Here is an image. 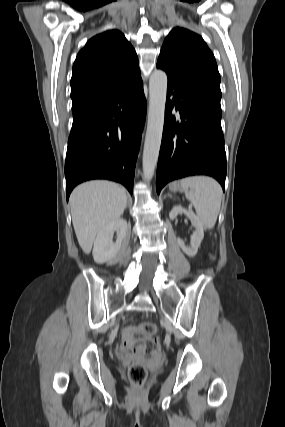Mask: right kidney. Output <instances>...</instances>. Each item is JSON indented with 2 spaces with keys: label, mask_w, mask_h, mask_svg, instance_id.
<instances>
[{
  "label": "right kidney",
  "mask_w": 285,
  "mask_h": 427,
  "mask_svg": "<svg viewBox=\"0 0 285 427\" xmlns=\"http://www.w3.org/2000/svg\"><path fill=\"white\" fill-rule=\"evenodd\" d=\"M127 221L119 218L99 231L94 241L93 258L98 264L111 262L114 260L121 248V243L127 233ZM117 232L115 243H111L110 235Z\"/></svg>",
  "instance_id": "right-kidney-1"
}]
</instances>
